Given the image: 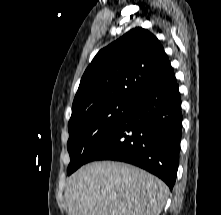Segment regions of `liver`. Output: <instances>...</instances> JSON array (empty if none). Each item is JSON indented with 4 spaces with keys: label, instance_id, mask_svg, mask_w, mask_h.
<instances>
[{
    "label": "liver",
    "instance_id": "6515ba94",
    "mask_svg": "<svg viewBox=\"0 0 221 215\" xmlns=\"http://www.w3.org/2000/svg\"><path fill=\"white\" fill-rule=\"evenodd\" d=\"M169 189L159 178L120 162H94L67 180L68 215H159Z\"/></svg>",
    "mask_w": 221,
    "mask_h": 215
}]
</instances>
